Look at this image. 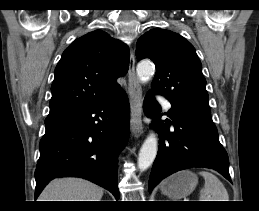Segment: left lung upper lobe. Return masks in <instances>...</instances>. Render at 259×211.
I'll list each match as a JSON object with an SVG mask.
<instances>
[{
	"label": "left lung upper lobe",
	"mask_w": 259,
	"mask_h": 211,
	"mask_svg": "<svg viewBox=\"0 0 259 211\" xmlns=\"http://www.w3.org/2000/svg\"><path fill=\"white\" fill-rule=\"evenodd\" d=\"M138 60L150 58L156 65L151 84L154 93L176 104L210 112L206 80L194 47L181 35L152 29L137 41Z\"/></svg>",
	"instance_id": "obj_1"
}]
</instances>
